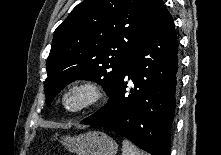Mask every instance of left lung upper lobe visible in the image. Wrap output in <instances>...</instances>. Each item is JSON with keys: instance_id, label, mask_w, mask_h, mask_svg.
Returning a JSON list of instances; mask_svg holds the SVG:
<instances>
[{"instance_id": "5c2ea615", "label": "left lung upper lobe", "mask_w": 221, "mask_h": 155, "mask_svg": "<svg viewBox=\"0 0 221 155\" xmlns=\"http://www.w3.org/2000/svg\"><path fill=\"white\" fill-rule=\"evenodd\" d=\"M163 7L162 0H85L77 5L54 32L44 85L47 106L77 79L98 82L110 95Z\"/></svg>"}]
</instances>
